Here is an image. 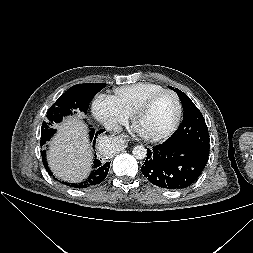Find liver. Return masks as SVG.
Returning <instances> with one entry per match:
<instances>
[{"instance_id": "1", "label": "liver", "mask_w": 253, "mask_h": 253, "mask_svg": "<svg viewBox=\"0 0 253 253\" xmlns=\"http://www.w3.org/2000/svg\"><path fill=\"white\" fill-rule=\"evenodd\" d=\"M82 116L68 118L56 125L58 133L50 142L47 156L53 173L69 182H80L91 170L92 155L86 126L80 121Z\"/></svg>"}]
</instances>
